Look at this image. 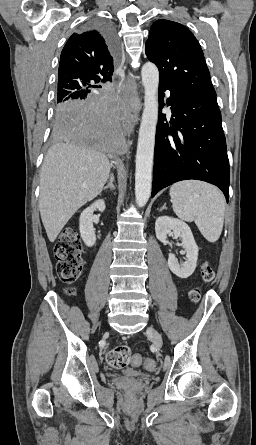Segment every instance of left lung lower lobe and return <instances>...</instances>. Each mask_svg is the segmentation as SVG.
<instances>
[{
  "label": "left lung lower lobe",
  "mask_w": 256,
  "mask_h": 445,
  "mask_svg": "<svg viewBox=\"0 0 256 445\" xmlns=\"http://www.w3.org/2000/svg\"><path fill=\"white\" fill-rule=\"evenodd\" d=\"M166 90L172 117L168 122L159 114L151 197L177 181L196 179L218 186L228 201L229 160L217 100L165 82H159L160 99Z\"/></svg>",
  "instance_id": "1"
}]
</instances>
